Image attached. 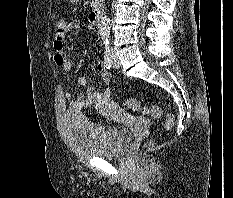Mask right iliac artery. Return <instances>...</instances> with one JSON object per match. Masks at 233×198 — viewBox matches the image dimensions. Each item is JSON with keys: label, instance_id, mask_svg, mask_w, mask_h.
I'll return each instance as SVG.
<instances>
[{"label": "right iliac artery", "instance_id": "82829eb1", "mask_svg": "<svg viewBox=\"0 0 233 198\" xmlns=\"http://www.w3.org/2000/svg\"><path fill=\"white\" fill-rule=\"evenodd\" d=\"M112 63H113V56L110 50V46L107 43L105 45L104 65L107 69H110Z\"/></svg>", "mask_w": 233, "mask_h": 198}]
</instances>
